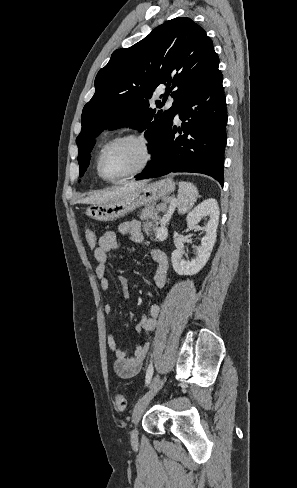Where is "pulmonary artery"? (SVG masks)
<instances>
[{"label": "pulmonary artery", "instance_id": "obj_1", "mask_svg": "<svg viewBox=\"0 0 297 488\" xmlns=\"http://www.w3.org/2000/svg\"><path fill=\"white\" fill-rule=\"evenodd\" d=\"M171 104H172V102L170 101V102H169V106H171ZM176 117L178 118V114H177V116H176Z\"/></svg>", "mask_w": 297, "mask_h": 488}]
</instances>
